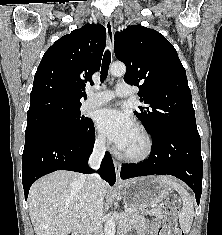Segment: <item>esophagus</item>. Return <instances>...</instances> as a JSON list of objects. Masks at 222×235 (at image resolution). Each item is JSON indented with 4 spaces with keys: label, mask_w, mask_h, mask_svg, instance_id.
Here are the masks:
<instances>
[{
    "label": "esophagus",
    "mask_w": 222,
    "mask_h": 235,
    "mask_svg": "<svg viewBox=\"0 0 222 235\" xmlns=\"http://www.w3.org/2000/svg\"><path fill=\"white\" fill-rule=\"evenodd\" d=\"M105 28L107 32V47L112 52L113 47H114V29H113V23H112L111 18H106ZM114 166H115L117 181H119L121 165L118 161L114 160Z\"/></svg>",
    "instance_id": "esophagus-1"
}]
</instances>
